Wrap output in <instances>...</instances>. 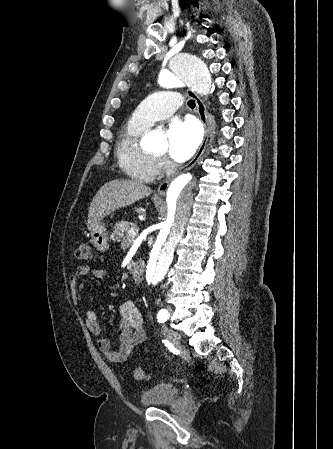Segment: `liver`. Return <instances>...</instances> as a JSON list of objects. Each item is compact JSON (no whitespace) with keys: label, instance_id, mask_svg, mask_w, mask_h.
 Listing matches in <instances>:
<instances>
[{"label":"liver","instance_id":"6515ba94","mask_svg":"<svg viewBox=\"0 0 333 449\" xmlns=\"http://www.w3.org/2000/svg\"><path fill=\"white\" fill-rule=\"evenodd\" d=\"M152 190L138 181L115 179L104 184L93 198L87 226L94 229L110 213L148 197Z\"/></svg>","mask_w":333,"mask_h":449}]
</instances>
